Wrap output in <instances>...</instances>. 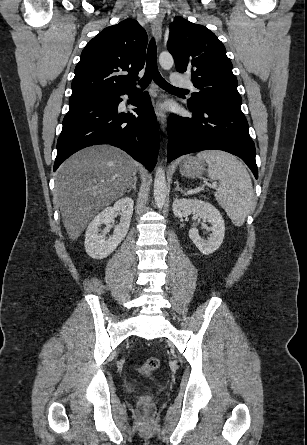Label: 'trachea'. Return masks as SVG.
Masks as SVG:
<instances>
[{"label": "trachea", "mask_w": 307, "mask_h": 445, "mask_svg": "<svg viewBox=\"0 0 307 445\" xmlns=\"http://www.w3.org/2000/svg\"><path fill=\"white\" fill-rule=\"evenodd\" d=\"M152 80H154V82L164 90H185L182 88L178 89L177 87H173V85H170V83H168L159 73L157 68V48L154 40H151L148 47L146 71L140 80L141 87L146 88Z\"/></svg>", "instance_id": "obj_1"}]
</instances>
